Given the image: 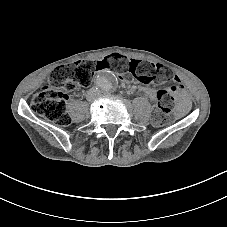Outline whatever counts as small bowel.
Returning a JSON list of instances; mask_svg holds the SVG:
<instances>
[{"instance_id": "small-bowel-1", "label": "small bowel", "mask_w": 227, "mask_h": 227, "mask_svg": "<svg viewBox=\"0 0 227 227\" xmlns=\"http://www.w3.org/2000/svg\"><path fill=\"white\" fill-rule=\"evenodd\" d=\"M178 79V77H177ZM141 90L152 100H157V91L149 87H142ZM188 109V100L185 94H181L179 97V110L184 112Z\"/></svg>"}]
</instances>
